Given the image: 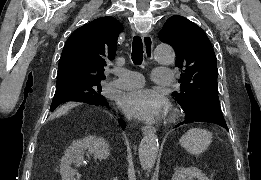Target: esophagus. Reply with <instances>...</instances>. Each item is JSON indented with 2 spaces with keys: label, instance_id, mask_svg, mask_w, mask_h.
<instances>
[{
  "label": "esophagus",
  "instance_id": "34e87169",
  "mask_svg": "<svg viewBox=\"0 0 261 180\" xmlns=\"http://www.w3.org/2000/svg\"><path fill=\"white\" fill-rule=\"evenodd\" d=\"M142 39H143L146 59L149 61H152L153 60V39H152L151 35H149L148 33L143 34ZM155 131H156V128L151 125L142 127L143 134H152V133H155Z\"/></svg>",
  "mask_w": 261,
  "mask_h": 180
}]
</instances>
